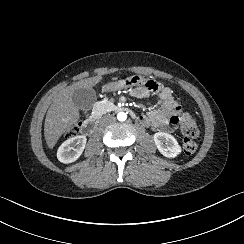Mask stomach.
Wrapping results in <instances>:
<instances>
[{"instance_id":"stomach-1","label":"stomach","mask_w":244,"mask_h":244,"mask_svg":"<svg viewBox=\"0 0 244 244\" xmlns=\"http://www.w3.org/2000/svg\"><path fill=\"white\" fill-rule=\"evenodd\" d=\"M143 83H144V78L141 76L135 75V76L129 77L125 80L108 83L102 87V90L104 92L116 91V90H120L123 88H129V87L136 86V85L138 86Z\"/></svg>"}]
</instances>
